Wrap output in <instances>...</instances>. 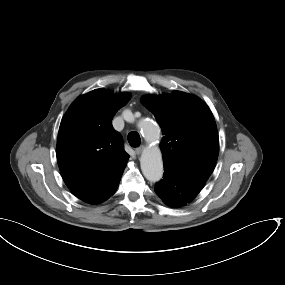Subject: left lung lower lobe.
I'll return each instance as SVG.
<instances>
[{"instance_id": "left-lung-lower-lobe-1", "label": "left lung lower lobe", "mask_w": 285, "mask_h": 285, "mask_svg": "<svg viewBox=\"0 0 285 285\" xmlns=\"http://www.w3.org/2000/svg\"><path fill=\"white\" fill-rule=\"evenodd\" d=\"M205 182L164 168L163 180L155 184L156 194L169 206L181 207L192 201Z\"/></svg>"}]
</instances>
